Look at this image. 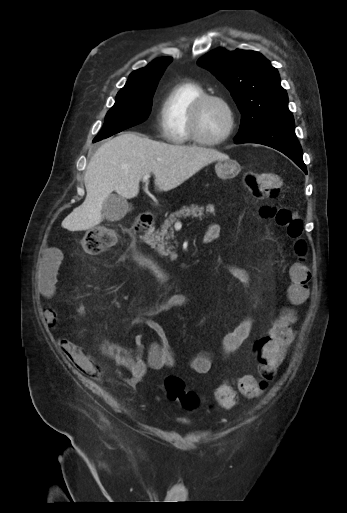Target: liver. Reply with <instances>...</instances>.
<instances>
[{"instance_id": "liver-1", "label": "liver", "mask_w": 347, "mask_h": 513, "mask_svg": "<svg viewBox=\"0 0 347 513\" xmlns=\"http://www.w3.org/2000/svg\"><path fill=\"white\" fill-rule=\"evenodd\" d=\"M228 158L214 148L171 145L134 132L122 133L101 145L91 158L84 176L86 199L61 225L82 231L100 224L108 196L115 191L124 199L134 198L146 174L153 173L155 185L168 191L208 164Z\"/></svg>"}]
</instances>
